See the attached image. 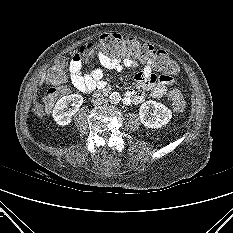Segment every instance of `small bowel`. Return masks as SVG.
<instances>
[{
	"instance_id": "small-bowel-1",
	"label": "small bowel",
	"mask_w": 233,
	"mask_h": 233,
	"mask_svg": "<svg viewBox=\"0 0 233 233\" xmlns=\"http://www.w3.org/2000/svg\"><path fill=\"white\" fill-rule=\"evenodd\" d=\"M98 58L103 67L115 72H121L125 67H137L140 62L143 63L142 70L134 78L143 89L150 90V96L153 98L163 97L168 86L174 83L171 76L156 73L158 70L150 57L138 59L123 54L112 56L100 51ZM68 71L72 84L83 93L90 94L95 90L106 87V81L101 69L94 68L90 72H82V59L78 52L73 56ZM146 96L147 94L144 91L129 90L125 93L124 101L127 104H139L146 99Z\"/></svg>"
}]
</instances>
